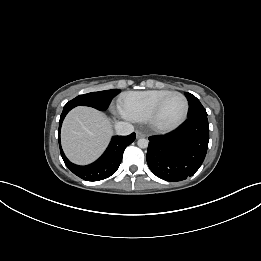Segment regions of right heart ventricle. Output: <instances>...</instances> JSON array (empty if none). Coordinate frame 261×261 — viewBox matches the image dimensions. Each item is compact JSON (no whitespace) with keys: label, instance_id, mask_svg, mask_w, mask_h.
<instances>
[{"label":"right heart ventricle","instance_id":"right-heart-ventricle-1","mask_svg":"<svg viewBox=\"0 0 261 261\" xmlns=\"http://www.w3.org/2000/svg\"><path fill=\"white\" fill-rule=\"evenodd\" d=\"M168 92L167 89L127 92L119 100V110L127 119L144 121L155 102Z\"/></svg>","mask_w":261,"mask_h":261}]
</instances>
